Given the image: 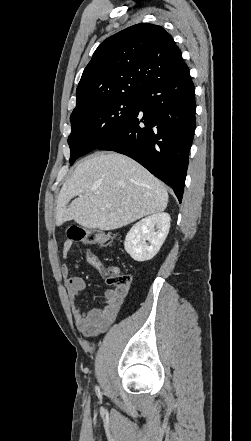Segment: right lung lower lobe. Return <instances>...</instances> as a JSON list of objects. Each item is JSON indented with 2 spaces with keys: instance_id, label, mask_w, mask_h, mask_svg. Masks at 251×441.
<instances>
[{
  "instance_id": "right-lung-lower-lobe-1",
  "label": "right lung lower lobe",
  "mask_w": 251,
  "mask_h": 441,
  "mask_svg": "<svg viewBox=\"0 0 251 441\" xmlns=\"http://www.w3.org/2000/svg\"><path fill=\"white\" fill-rule=\"evenodd\" d=\"M195 87L186 66L141 95L125 125L100 145L127 155L173 188L182 201L196 127Z\"/></svg>"
}]
</instances>
